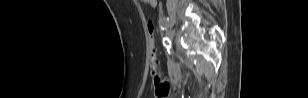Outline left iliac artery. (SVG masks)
<instances>
[{"mask_svg":"<svg viewBox=\"0 0 308 98\" xmlns=\"http://www.w3.org/2000/svg\"><path fill=\"white\" fill-rule=\"evenodd\" d=\"M159 23H160V27L162 29L166 28L168 25H169V18L168 17H162L160 20H159Z\"/></svg>","mask_w":308,"mask_h":98,"instance_id":"1","label":"left iliac artery"}]
</instances>
